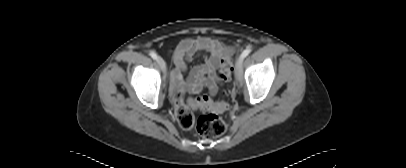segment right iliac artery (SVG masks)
I'll list each match as a JSON object with an SVG mask.
<instances>
[{
  "mask_svg": "<svg viewBox=\"0 0 406 168\" xmlns=\"http://www.w3.org/2000/svg\"><path fill=\"white\" fill-rule=\"evenodd\" d=\"M150 56L154 59L157 60L158 56L155 52H150Z\"/></svg>",
  "mask_w": 406,
  "mask_h": 168,
  "instance_id": "obj_1",
  "label": "right iliac artery"
}]
</instances>
